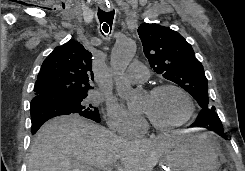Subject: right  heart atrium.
Wrapping results in <instances>:
<instances>
[{
    "label": "right heart atrium",
    "mask_w": 245,
    "mask_h": 171,
    "mask_svg": "<svg viewBox=\"0 0 245 171\" xmlns=\"http://www.w3.org/2000/svg\"><path fill=\"white\" fill-rule=\"evenodd\" d=\"M106 121L109 128L114 132L131 139L137 138L146 127L143 118L130 113L117 103L108 105Z\"/></svg>",
    "instance_id": "d8ad5b80"
}]
</instances>
